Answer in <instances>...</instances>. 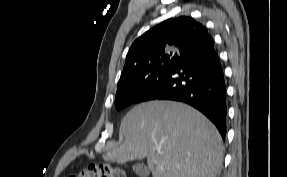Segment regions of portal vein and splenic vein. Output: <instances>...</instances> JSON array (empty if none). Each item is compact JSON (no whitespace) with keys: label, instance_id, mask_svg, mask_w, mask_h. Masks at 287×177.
<instances>
[{"label":"portal vein and splenic vein","instance_id":"1","mask_svg":"<svg viewBox=\"0 0 287 177\" xmlns=\"http://www.w3.org/2000/svg\"><path fill=\"white\" fill-rule=\"evenodd\" d=\"M157 153H161V149L160 148H157Z\"/></svg>","mask_w":287,"mask_h":177}]
</instances>
